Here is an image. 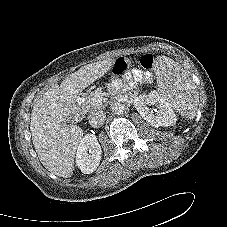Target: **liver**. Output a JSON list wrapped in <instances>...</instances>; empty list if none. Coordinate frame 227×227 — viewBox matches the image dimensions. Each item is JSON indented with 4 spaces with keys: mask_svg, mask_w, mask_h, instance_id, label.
<instances>
[{
    "mask_svg": "<svg viewBox=\"0 0 227 227\" xmlns=\"http://www.w3.org/2000/svg\"><path fill=\"white\" fill-rule=\"evenodd\" d=\"M115 59L87 64L70 74L60 85H52L33 105L30 130L42 165L51 173L68 178L73 174L76 149L83 130L66 124L83 89L107 73Z\"/></svg>",
    "mask_w": 227,
    "mask_h": 227,
    "instance_id": "1",
    "label": "liver"
}]
</instances>
